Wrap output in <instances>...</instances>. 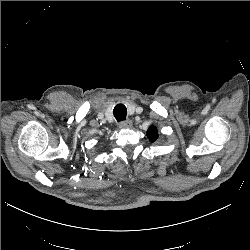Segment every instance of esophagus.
<instances>
[{
  "label": "esophagus",
  "instance_id": "esophagus-1",
  "mask_svg": "<svg viewBox=\"0 0 250 250\" xmlns=\"http://www.w3.org/2000/svg\"><path fill=\"white\" fill-rule=\"evenodd\" d=\"M131 126H132L131 120L122 121L119 124V128H121V129L130 128Z\"/></svg>",
  "mask_w": 250,
  "mask_h": 250
}]
</instances>
